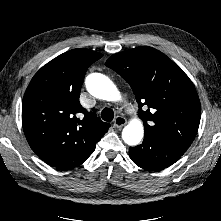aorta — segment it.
I'll return each instance as SVG.
<instances>
[{"instance_id": "obj_1", "label": "aorta", "mask_w": 221, "mask_h": 221, "mask_svg": "<svg viewBox=\"0 0 221 221\" xmlns=\"http://www.w3.org/2000/svg\"><path fill=\"white\" fill-rule=\"evenodd\" d=\"M88 92L94 97L106 101H117L121 98L120 92L114 83L104 74L91 73L85 79ZM144 135L143 124L139 119H133L122 131L123 141L131 146L140 143Z\"/></svg>"}]
</instances>
